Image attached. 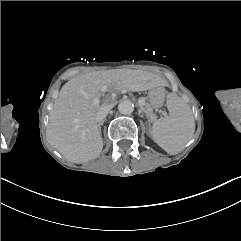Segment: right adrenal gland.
Segmentation results:
<instances>
[{"mask_svg":"<svg viewBox=\"0 0 241 241\" xmlns=\"http://www.w3.org/2000/svg\"><path fill=\"white\" fill-rule=\"evenodd\" d=\"M101 125H102V124H98V127H99V130H100V131H101Z\"/></svg>","mask_w":241,"mask_h":241,"instance_id":"1","label":"right adrenal gland"}]
</instances>
